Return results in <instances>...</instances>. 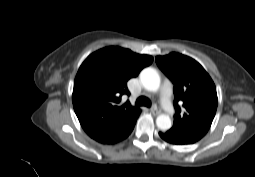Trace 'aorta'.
I'll return each mask as SVG.
<instances>
[{"label":"aorta","instance_id":"1","mask_svg":"<svg viewBox=\"0 0 255 177\" xmlns=\"http://www.w3.org/2000/svg\"><path fill=\"white\" fill-rule=\"evenodd\" d=\"M140 81L147 91L156 92L160 88V76L154 68L143 69L140 73ZM156 125L160 130H168L172 122L168 115L161 114L156 119Z\"/></svg>","mask_w":255,"mask_h":177}]
</instances>
